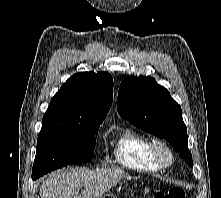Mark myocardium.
<instances>
[{
	"label": "myocardium",
	"instance_id": "1",
	"mask_svg": "<svg viewBox=\"0 0 221 198\" xmlns=\"http://www.w3.org/2000/svg\"><path fill=\"white\" fill-rule=\"evenodd\" d=\"M152 156L162 167L171 165L174 161V152L169 145L161 141H154L152 145Z\"/></svg>",
	"mask_w": 221,
	"mask_h": 198
}]
</instances>
